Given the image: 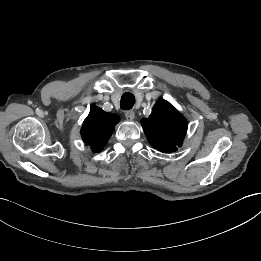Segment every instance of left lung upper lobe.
Listing matches in <instances>:
<instances>
[{
	"label": "left lung upper lobe",
	"instance_id": "left-lung-upper-lobe-1",
	"mask_svg": "<svg viewBox=\"0 0 261 261\" xmlns=\"http://www.w3.org/2000/svg\"><path fill=\"white\" fill-rule=\"evenodd\" d=\"M141 124L149 143L163 153L176 151L187 131L186 119L166 100L160 99Z\"/></svg>",
	"mask_w": 261,
	"mask_h": 261
}]
</instances>
